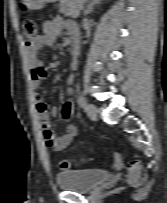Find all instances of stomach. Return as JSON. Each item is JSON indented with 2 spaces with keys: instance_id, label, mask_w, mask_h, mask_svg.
Masks as SVG:
<instances>
[{
  "instance_id": "obj_1",
  "label": "stomach",
  "mask_w": 167,
  "mask_h": 203,
  "mask_svg": "<svg viewBox=\"0 0 167 203\" xmlns=\"http://www.w3.org/2000/svg\"><path fill=\"white\" fill-rule=\"evenodd\" d=\"M21 1L28 9L36 10L43 8L47 3L56 2L57 0H21Z\"/></svg>"
}]
</instances>
